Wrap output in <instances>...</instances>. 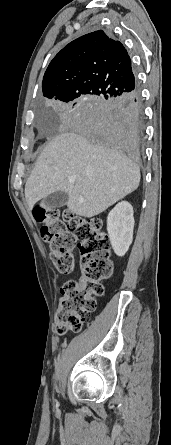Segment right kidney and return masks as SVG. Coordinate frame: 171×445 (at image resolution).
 Wrapping results in <instances>:
<instances>
[{"instance_id": "right-kidney-1", "label": "right kidney", "mask_w": 171, "mask_h": 445, "mask_svg": "<svg viewBox=\"0 0 171 445\" xmlns=\"http://www.w3.org/2000/svg\"><path fill=\"white\" fill-rule=\"evenodd\" d=\"M133 207L126 201L119 202L108 214L107 231L117 256H124L133 240Z\"/></svg>"}]
</instances>
